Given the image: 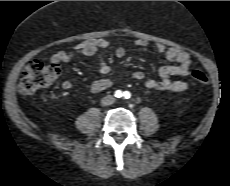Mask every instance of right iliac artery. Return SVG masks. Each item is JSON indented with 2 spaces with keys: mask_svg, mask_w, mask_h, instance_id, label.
Segmentation results:
<instances>
[{
  "mask_svg": "<svg viewBox=\"0 0 230 186\" xmlns=\"http://www.w3.org/2000/svg\"><path fill=\"white\" fill-rule=\"evenodd\" d=\"M122 96H123L122 91L117 90V91L115 92V97L120 98V97H122Z\"/></svg>",
  "mask_w": 230,
  "mask_h": 186,
  "instance_id": "right-iliac-artery-1",
  "label": "right iliac artery"
}]
</instances>
